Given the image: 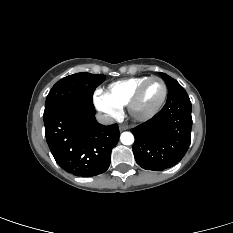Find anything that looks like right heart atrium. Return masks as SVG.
Returning <instances> with one entry per match:
<instances>
[{
  "instance_id": "1",
  "label": "right heart atrium",
  "mask_w": 233,
  "mask_h": 233,
  "mask_svg": "<svg viewBox=\"0 0 233 233\" xmlns=\"http://www.w3.org/2000/svg\"><path fill=\"white\" fill-rule=\"evenodd\" d=\"M94 104L96 108L108 118L115 119V118H118L121 114V110L118 107L109 103L106 100L103 92L99 90L96 91L94 95Z\"/></svg>"
}]
</instances>
